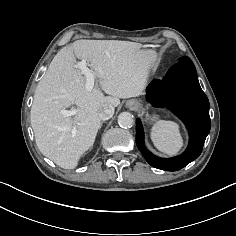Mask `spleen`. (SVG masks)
Segmentation results:
<instances>
[{
  "label": "spleen",
  "instance_id": "spleen-1",
  "mask_svg": "<svg viewBox=\"0 0 236 236\" xmlns=\"http://www.w3.org/2000/svg\"><path fill=\"white\" fill-rule=\"evenodd\" d=\"M154 146L169 156L176 155L183 147L180 127L172 121L160 120L156 122L150 133Z\"/></svg>",
  "mask_w": 236,
  "mask_h": 236
}]
</instances>
